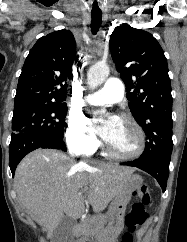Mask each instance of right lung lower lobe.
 <instances>
[{"instance_id":"98d812e1","label":"right lung lower lobe","mask_w":187,"mask_h":242,"mask_svg":"<svg viewBox=\"0 0 187 242\" xmlns=\"http://www.w3.org/2000/svg\"><path fill=\"white\" fill-rule=\"evenodd\" d=\"M38 148L61 149L67 151L62 138L43 134L15 133L9 145L10 169L14 176L15 169L22 158Z\"/></svg>"}]
</instances>
